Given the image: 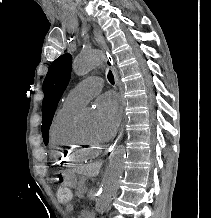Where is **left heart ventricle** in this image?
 <instances>
[{
    "label": "left heart ventricle",
    "instance_id": "1",
    "mask_svg": "<svg viewBox=\"0 0 211 218\" xmlns=\"http://www.w3.org/2000/svg\"><path fill=\"white\" fill-rule=\"evenodd\" d=\"M81 130L89 138L98 137L97 129H96L95 125L86 126Z\"/></svg>",
    "mask_w": 211,
    "mask_h": 218
}]
</instances>
